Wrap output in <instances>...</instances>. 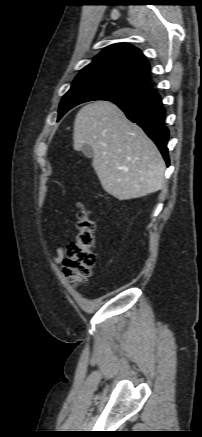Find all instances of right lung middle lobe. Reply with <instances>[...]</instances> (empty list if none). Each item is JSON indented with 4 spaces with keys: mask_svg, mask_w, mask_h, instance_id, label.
Returning <instances> with one entry per match:
<instances>
[{
    "mask_svg": "<svg viewBox=\"0 0 202 437\" xmlns=\"http://www.w3.org/2000/svg\"><path fill=\"white\" fill-rule=\"evenodd\" d=\"M152 89L148 82H141L126 75L108 71L80 72L70 90L60 102V119L68 110L92 100L114 101L142 95Z\"/></svg>",
    "mask_w": 202,
    "mask_h": 437,
    "instance_id": "right-lung-middle-lobe-1",
    "label": "right lung middle lobe"
}]
</instances>
